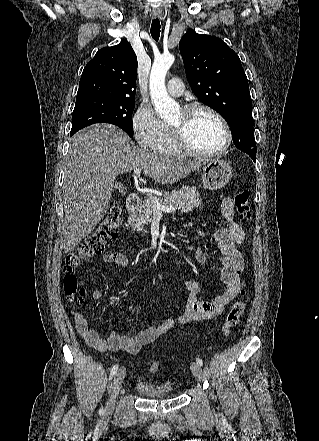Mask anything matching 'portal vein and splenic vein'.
Returning <instances> with one entry per match:
<instances>
[{
    "label": "portal vein and splenic vein",
    "mask_w": 319,
    "mask_h": 441,
    "mask_svg": "<svg viewBox=\"0 0 319 441\" xmlns=\"http://www.w3.org/2000/svg\"><path fill=\"white\" fill-rule=\"evenodd\" d=\"M141 173V169L140 168H135L134 169V174L135 175H139ZM177 209L175 207L172 206H165L162 205L159 201L155 200L154 201V211L157 214H161L162 212H174Z\"/></svg>",
    "instance_id": "obj_1"
}]
</instances>
